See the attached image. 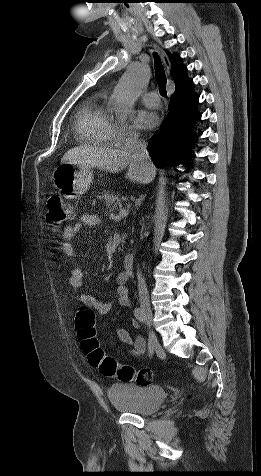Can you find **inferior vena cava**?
Masks as SVG:
<instances>
[{
  "label": "inferior vena cava",
  "instance_id": "inferior-vena-cava-1",
  "mask_svg": "<svg viewBox=\"0 0 261 476\" xmlns=\"http://www.w3.org/2000/svg\"><path fill=\"white\" fill-rule=\"evenodd\" d=\"M126 151L133 154V157L140 161L142 164L152 166L153 164L150 161L147 145L144 141L139 139L138 134L132 133L127 138L125 143ZM138 291H139V301L140 306L146 310H150V301L147 286L145 283L144 277L141 274L138 276Z\"/></svg>",
  "mask_w": 261,
  "mask_h": 476
}]
</instances>
